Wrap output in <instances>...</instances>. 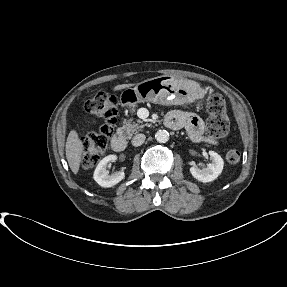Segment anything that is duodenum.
I'll list each match as a JSON object with an SVG mask.
<instances>
[{"instance_id": "410a0bca", "label": "duodenum", "mask_w": 287, "mask_h": 287, "mask_svg": "<svg viewBox=\"0 0 287 287\" xmlns=\"http://www.w3.org/2000/svg\"><path fill=\"white\" fill-rule=\"evenodd\" d=\"M127 146L126 138L122 134L117 133L112 136L111 147L114 151L123 152L127 149Z\"/></svg>"}]
</instances>
